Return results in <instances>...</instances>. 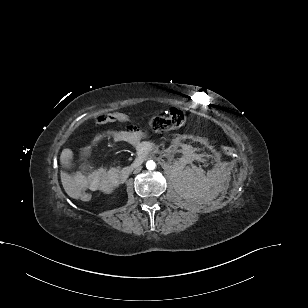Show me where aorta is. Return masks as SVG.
Instances as JSON below:
<instances>
[{
  "mask_svg": "<svg viewBox=\"0 0 308 308\" xmlns=\"http://www.w3.org/2000/svg\"><path fill=\"white\" fill-rule=\"evenodd\" d=\"M146 167H147L148 170H153V169H155L156 164H155L154 161L150 160V161H147Z\"/></svg>",
  "mask_w": 308,
  "mask_h": 308,
  "instance_id": "762f6f07",
  "label": "aorta"
}]
</instances>
